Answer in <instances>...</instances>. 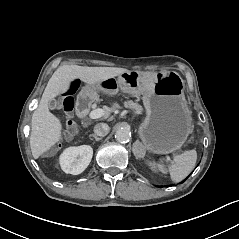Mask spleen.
I'll list each match as a JSON object with an SVG mask.
<instances>
[{
	"label": "spleen",
	"instance_id": "spleen-1",
	"mask_svg": "<svg viewBox=\"0 0 239 239\" xmlns=\"http://www.w3.org/2000/svg\"><path fill=\"white\" fill-rule=\"evenodd\" d=\"M197 160V152L195 150L185 151L184 153L174 157V163L169 166L171 179L180 182L186 178L193 170ZM162 173H167L164 165H159Z\"/></svg>",
	"mask_w": 239,
	"mask_h": 239
}]
</instances>
